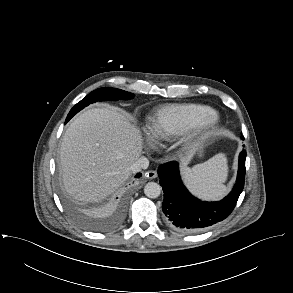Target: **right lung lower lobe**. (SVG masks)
I'll list each match as a JSON object with an SVG mask.
<instances>
[{
	"mask_svg": "<svg viewBox=\"0 0 293 293\" xmlns=\"http://www.w3.org/2000/svg\"><path fill=\"white\" fill-rule=\"evenodd\" d=\"M141 176V174L140 173H138L137 175H136V177H140ZM121 208L119 207V206H117V210H120Z\"/></svg>",
	"mask_w": 293,
	"mask_h": 293,
	"instance_id": "98d812e1",
	"label": "right lung lower lobe"
}]
</instances>
